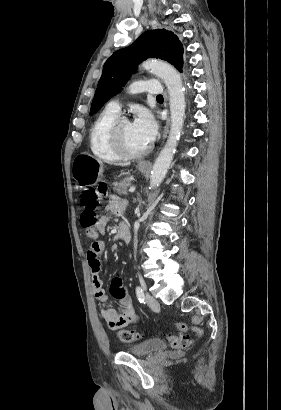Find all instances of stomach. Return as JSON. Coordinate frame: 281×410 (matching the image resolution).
Segmentation results:
<instances>
[{
    "label": "stomach",
    "instance_id": "obj_1",
    "mask_svg": "<svg viewBox=\"0 0 281 410\" xmlns=\"http://www.w3.org/2000/svg\"><path fill=\"white\" fill-rule=\"evenodd\" d=\"M138 170L144 173L147 168L138 165ZM71 173L78 188L84 189L96 185L102 179L104 164L100 159L91 155L81 154L73 160Z\"/></svg>",
    "mask_w": 281,
    "mask_h": 410
}]
</instances>
